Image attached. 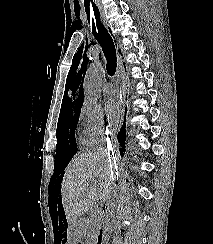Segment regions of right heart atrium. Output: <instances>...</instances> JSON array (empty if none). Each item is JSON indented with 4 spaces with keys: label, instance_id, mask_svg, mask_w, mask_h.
Listing matches in <instances>:
<instances>
[{
    "label": "right heart atrium",
    "instance_id": "d8ad5b80",
    "mask_svg": "<svg viewBox=\"0 0 213 244\" xmlns=\"http://www.w3.org/2000/svg\"><path fill=\"white\" fill-rule=\"evenodd\" d=\"M80 120L83 125V142L86 145H97L104 142L111 133L100 106L84 103L80 110Z\"/></svg>",
    "mask_w": 213,
    "mask_h": 244
}]
</instances>
